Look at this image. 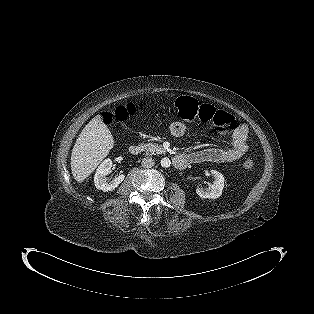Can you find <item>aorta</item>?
Segmentation results:
<instances>
[{"instance_id": "obj_1", "label": "aorta", "mask_w": 314, "mask_h": 314, "mask_svg": "<svg viewBox=\"0 0 314 314\" xmlns=\"http://www.w3.org/2000/svg\"><path fill=\"white\" fill-rule=\"evenodd\" d=\"M160 163H161V166L164 167V168L169 167L170 164H171L169 158H167V157L162 158Z\"/></svg>"}]
</instances>
